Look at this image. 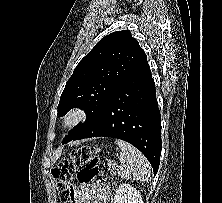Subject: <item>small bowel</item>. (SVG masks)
I'll use <instances>...</instances> for the list:
<instances>
[{
    "mask_svg": "<svg viewBox=\"0 0 222 203\" xmlns=\"http://www.w3.org/2000/svg\"><path fill=\"white\" fill-rule=\"evenodd\" d=\"M110 188L102 183H78L72 186L70 203H109Z\"/></svg>",
    "mask_w": 222,
    "mask_h": 203,
    "instance_id": "1",
    "label": "small bowel"
}]
</instances>
